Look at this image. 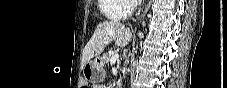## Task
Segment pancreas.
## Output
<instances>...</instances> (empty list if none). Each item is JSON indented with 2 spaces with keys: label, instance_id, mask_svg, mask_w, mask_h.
Segmentation results:
<instances>
[{
  "label": "pancreas",
  "instance_id": "pancreas-1",
  "mask_svg": "<svg viewBox=\"0 0 227 88\" xmlns=\"http://www.w3.org/2000/svg\"><path fill=\"white\" fill-rule=\"evenodd\" d=\"M111 57H112V54H110V53H105V54L103 55V59H104L105 63H109Z\"/></svg>",
  "mask_w": 227,
  "mask_h": 88
}]
</instances>
